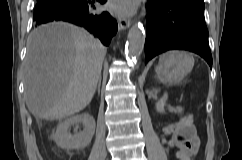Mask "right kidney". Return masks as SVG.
<instances>
[{
  "mask_svg": "<svg viewBox=\"0 0 242 160\" xmlns=\"http://www.w3.org/2000/svg\"><path fill=\"white\" fill-rule=\"evenodd\" d=\"M76 124H82L84 129L80 133L71 135L68 129ZM95 127L96 124L93 116L88 113H82L69 117L59 123L52 137L57 146L62 149H83L90 144L95 132Z\"/></svg>",
  "mask_w": 242,
  "mask_h": 160,
  "instance_id": "ca27d5eb",
  "label": "right kidney"
}]
</instances>
